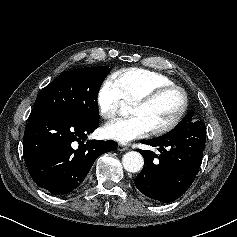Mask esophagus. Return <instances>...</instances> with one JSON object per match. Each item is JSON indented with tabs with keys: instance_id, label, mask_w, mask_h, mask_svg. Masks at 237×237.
I'll use <instances>...</instances> for the list:
<instances>
[{
	"instance_id": "obj_1",
	"label": "esophagus",
	"mask_w": 237,
	"mask_h": 237,
	"mask_svg": "<svg viewBox=\"0 0 237 237\" xmlns=\"http://www.w3.org/2000/svg\"><path fill=\"white\" fill-rule=\"evenodd\" d=\"M117 150H118V151H126V150H128V147L125 146V145L119 144V145L117 146Z\"/></svg>"
}]
</instances>
